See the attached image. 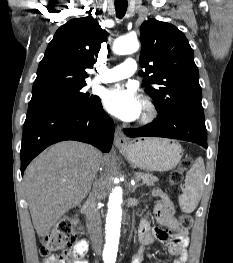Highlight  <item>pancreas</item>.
Here are the masks:
<instances>
[{
    "label": "pancreas",
    "instance_id": "pancreas-1",
    "mask_svg": "<svg viewBox=\"0 0 233 263\" xmlns=\"http://www.w3.org/2000/svg\"><path fill=\"white\" fill-rule=\"evenodd\" d=\"M136 180H142V184H146L147 186H155V183L158 181V179L150 173H141L138 172L135 174Z\"/></svg>",
    "mask_w": 233,
    "mask_h": 263
}]
</instances>
